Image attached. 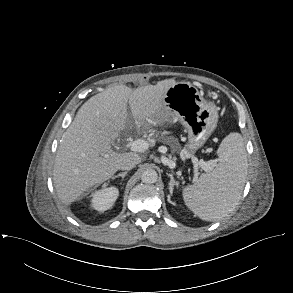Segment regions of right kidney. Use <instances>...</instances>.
<instances>
[{
    "label": "right kidney",
    "mask_w": 293,
    "mask_h": 293,
    "mask_svg": "<svg viewBox=\"0 0 293 293\" xmlns=\"http://www.w3.org/2000/svg\"><path fill=\"white\" fill-rule=\"evenodd\" d=\"M118 195V189L112 186L97 190L92 195L91 207L100 212L106 211L113 206Z\"/></svg>",
    "instance_id": "ca27d5eb"
}]
</instances>
